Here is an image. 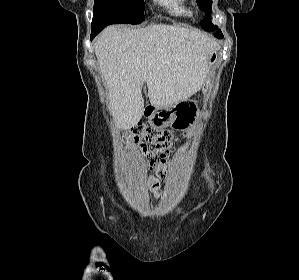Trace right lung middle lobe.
Masks as SVG:
<instances>
[{
  "mask_svg": "<svg viewBox=\"0 0 299 280\" xmlns=\"http://www.w3.org/2000/svg\"><path fill=\"white\" fill-rule=\"evenodd\" d=\"M94 10L112 13L123 24H139L145 19L143 0H94Z\"/></svg>",
  "mask_w": 299,
  "mask_h": 280,
  "instance_id": "1",
  "label": "right lung middle lobe"
}]
</instances>
